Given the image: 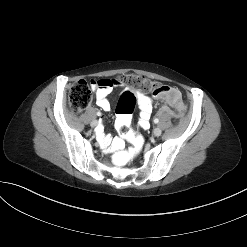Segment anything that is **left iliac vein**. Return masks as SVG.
Masks as SVG:
<instances>
[{
  "instance_id": "1",
  "label": "left iliac vein",
  "mask_w": 247,
  "mask_h": 247,
  "mask_svg": "<svg viewBox=\"0 0 247 247\" xmlns=\"http://www.w3.org/2000/svg\"><path fill=\"white\" fill-rule=\"evenodd\" d=\"M153 133H154V135H155V136H157V137H158V136H160V135H161L162 131H161V129H160V128H158V127H157V128H155V129H154Z\"/></svg>"
}]
</instances>
